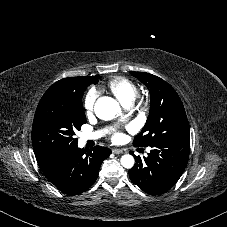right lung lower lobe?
Segmentation results:
<instances>
[{"label":"right lung lower lobe","instance_id":"1","mask_svg":"<svg viewBox=\"0 0 227 227\" xmlns=\"http://www.w3.org/2000/svg\"><path fill=\"white\" fill-rule=\"evenodd\" d=\"M85 152L74 145L50 151L36 159L46 178L61 192L77 195L94 184L103 160L111 154L109 148L101 146Z\"/></svg>","mask_w":227,"mask_h":227}]
</instances>
